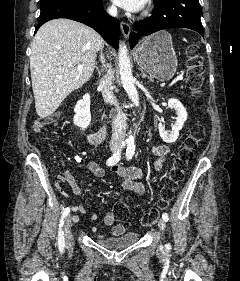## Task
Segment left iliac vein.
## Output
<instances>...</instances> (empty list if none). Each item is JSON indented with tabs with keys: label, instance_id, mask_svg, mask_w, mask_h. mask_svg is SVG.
<instances>
[{
	"label": "left iliac vein",
	"instance_id": "left-iliac-vein-1",
	"mask_svg": "<svg viewBox=\"0 0 240 281\" xmlns=\"http://www.w3.org/2000/svg\"><path fill=\"white\" fill-rule=\"evenodd\" d=\"M158 226H159L160 230L163 231L165 229V221L160 218L158 221Z\"/></svg>",
	"mask_w": 240,
	"mask_h": 281
}]
</instances>
